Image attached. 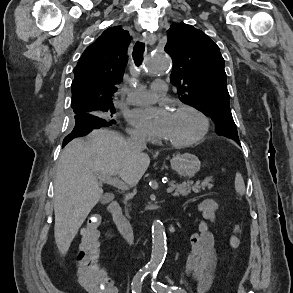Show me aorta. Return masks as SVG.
Listing matches in <instances>:
<instances>
[{"label":"aorta","instance_id":"762f6f07","mask_svg":"<svg viewBox=\"0 0 293 293\" xmlns=\"http://www.w3.org/2000/svg\"><path fill=\"white\" fill-rule=\"evenodd\" d=\"M171 67L169 55L163 51H153L145 62L144 72L147 76H156L166 73ZM167 253L166 234L163 223L154 220L152 224V253L148 268L157 270L162 265Z\"/></svg>","mask_w":293,"mask_h":293}]
</instances>
